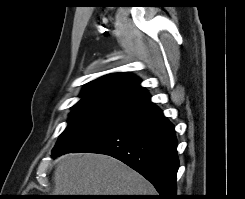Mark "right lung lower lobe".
<instances>
[{
  "label": "right lung lower lobe",
  "mask_w": 245,
  "mask_h": 199,
  "mask_svg": "<svg viewBox=\"0 0 245 199\" xmlns=\"http://www.w3.org/2000/svg\"><path fill=\"white\" fill-rule=\"evenodd\" d=\"M176 148L173 125L159 108L152 106L127 116L110 131L73 152L117 158L149 180L160 194L158 199H178Z\"/></svg>",
  "instance_id": "obj_1"
}]
</instances>
